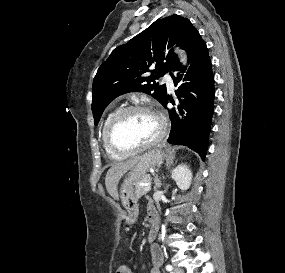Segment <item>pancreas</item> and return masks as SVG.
Wrapping results in <instances>:
<instances>
[{
	"mask_svg": "<svg viewBox=\"0 0 285 273\" xmlns=\"http://www.w3.org/2000/svg\"><path fill=\"white\" fill-rule=\"evenodd\" d=\"M142 183H147L149 182V178L145 177L142 180H140ZM145 186L144 185H140V184H136L135 185V195L137 198H140L142 196H144L147 192L144 191Z\"/></svg>",
	"mask_w": 285,
	"mask_h": 273,
	"instance_id": "obj_1",
	"label": "pancreas"
}]
</instances>
